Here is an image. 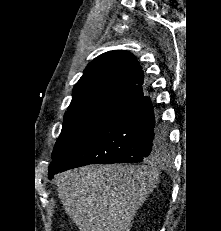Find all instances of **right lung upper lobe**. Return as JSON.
Here are the masks:
<instances>
[{
    "label": "right lung upper lobe",
    "instance_id": "cb5924a9",
    "mask_svg": "<svg viewBox=\"0 0 221 231\" xmlns=\"http://www.w3.org/2000/svg\"><path fill=\"white\" fill-rule=\"evenodd\" d=\"M143 71L135 55L124 50L103 53L86 67L73 88L70 105L94 97L134 101L147 92Z\"/></svg>",
    "mask_w": 221,
    "mask_h": 231
}]
</instances>
